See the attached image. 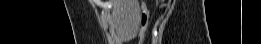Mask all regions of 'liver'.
<instances>
[{
    "label": "liver",
    "instance_id": "6515ba94",
    "mask_svg": "<svg viewBox=\"0 0 261 44\" xmlns=\"http://www.w3.org/2000/svg\"><path fill=\"white\" fill-rule=\"evenodd\" d=\"M118 34L123 41L133 38L139 28L140 7L138 0H115L112 10Z\"/></svg>",
    "mask_w": 261,
    "mask_h": 44
}]
</instances>
